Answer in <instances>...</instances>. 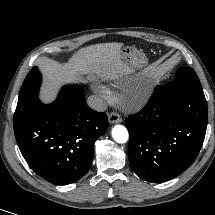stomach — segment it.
Instances as JSON below:
<instances>
[{
  "instance_id": "stomach-1",
  "label": "stomach",
  "mask_w": 215,
  "mask_h": 215,
  "mask_svg": "<svg viewBox=\"0 0 215 215\" xmlns=\"http://www.w3.org/2000/svg\"><path fill=\"white\" fill-rule=\"evenodd\" d=\"M121 56L132 69H141L147 64V58L144 54L133 47H123Z\"/></svg>"
}]
</instances>
